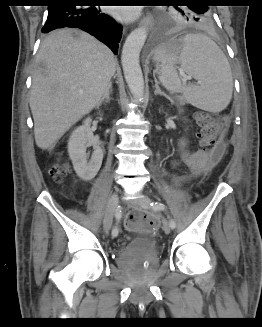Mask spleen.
Returning <instances> with one entry per match:
<instances>
[{"label":"spleen","instance_id":"spleen-1","mask_svg":"<svg viewBox=\"0 0 262 327\" xmlns=\"http://www.w3.org/2000/svg\"><path fill=\"white\" fill-rule=\"evenodd\" d=\"M182 43L179 56L166 53L161 46L154 55L159 80L170 92H182L191 105L213 113L224 110L232 98L233 79L229 62L208 36L190 33L178 39ZM199 81V85L184 86L175 65Z\"/></svg>","mask_w":262,"mask_h":327}]
</instances>
